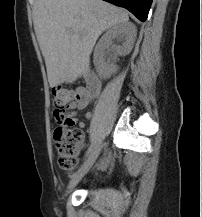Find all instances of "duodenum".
Returning a JSON list of instances; mask_svg holds the SVG:
<instances>
[{"label":"duodenum","instance_id":"duodenum-1","mask_svg":"<svg viewBox=\"0 0 202 217\" xmlns=\"http://www.w3.org/2000/svg\"><path fill=\"white\" fill-rule=\"evenodd\" d=\"M101 83L93 73H89L87 77L86 90L89 95H96L100 92Z\"/></svg>","mask_w":202,"mask_h":217}]
</instances>
